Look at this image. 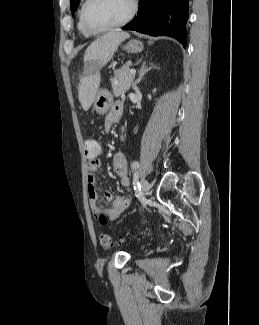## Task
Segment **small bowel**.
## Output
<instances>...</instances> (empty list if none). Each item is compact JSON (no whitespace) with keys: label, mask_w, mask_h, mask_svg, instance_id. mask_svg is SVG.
<instances>
[{"label":"small bowel","mask_w":259,"mask_h":325,"mask_svg":"<svg viewBox=\"0 0 259 325\" xmlns=\"http://www.w3.org/2000/svg\"><path fill=\"white\" fill-rule=\"evenodd\" d=\"M123 112V103L116 101L105 118V130L109 131L110 127L119 122ZM102 152V147L99 144L98 153L93 157H87L88 160V196L92 207L98 212L97 202L99 193L96 186V172L101 167L99 155ZM112 166L115 174L120 178V184L124 188H128L130 180L128 178L127 160L123 153L118 152L113 156ZM102 201L109 203V208L105 210V214L109 219L118 218L130 205V198L125 195L114 196L111 192H105L102 196Z\"/></svg>","instance_id":"small-bowel-1"}]
</instances>
